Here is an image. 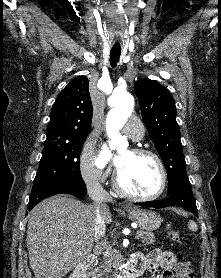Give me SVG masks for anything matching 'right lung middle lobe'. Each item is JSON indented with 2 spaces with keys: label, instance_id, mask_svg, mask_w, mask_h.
I'll return each mask as SVG.
<instances>
[{
  "label": "right lung middle lobe",
  "instance_id": "right-lung-middle-lobe-1",
  "mask_svg": "<svg viewBox=\"0 0 221 278\" xmlns=\"http://www.w3.org/2000/svg\"><path fill=\"white\" fill-rule=\"evenodd\" d=\"M86 137L45 143L31 193L60 180L84 183L79 157Z\"/></svg>",
  "mask_w": 221,
  "mask_h": 278
}]
</instances>
